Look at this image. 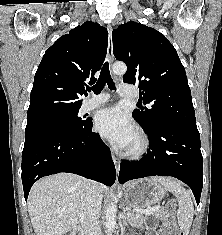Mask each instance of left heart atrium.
<instances>
[{"label":"left heart atrium","mask_w":222,"mask_h":235,"mask_svg":"<svg viewBox=\"0 0 222 235\" xmlns=\"http://www.w3.org/2000/svg\"><path fill=\"white\" fill-rule=\"evenodd\" d=\"M96 129L118 147L126 148L135 136L130 119L118 108H106L96 116Z\"/></svg>","instance_id":"left-heart-atrium-1"}]
</instances>
